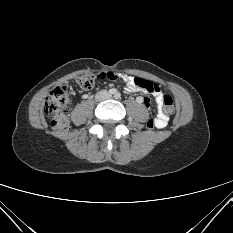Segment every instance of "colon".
<instances>
[{"mask_svg": "<svg viewBox=\"0 0 233 233\" xmlns=\"http://www.w3.org/2000/svg\"><path fill=\"white\" fill-rule=\"evenodd\" d=\"M135 84L140 89L147 93L155 94L160 91L159 86L152 81L135 77ZM78 85L84 89L89 90L95 83V76L91 74L82 75L77 79ZM72 105V92L67 85L57 86L45 101V112L52 117L51 125L53 129L58 131L68 130L70 127L69 121L66 117V112ZM163 110L166 114H172L175 110L173 99L169 95L163 96ZM147 127L153 129L155 127V119H150L147 122Z\"/></svg>", "mask_w": 233, "mask_h": 233, "instance_id": "1", "label": "colon"}]
</instances>
